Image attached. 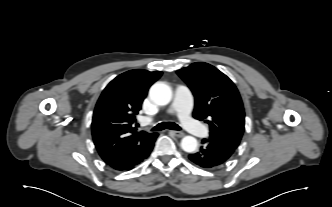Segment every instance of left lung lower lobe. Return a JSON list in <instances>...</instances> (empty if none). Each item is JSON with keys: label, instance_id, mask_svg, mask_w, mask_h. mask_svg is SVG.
Masks as SVG:
<instances>
[{"label": "left lung lower lobe", "instance_id": "left-lung-lower-lobe-1", "mask_svg": "<svg viewBox=\"0 0 332 207\" xmlns=\"http://www.w3.org/2000/svg\"><path fill=\"white\" fill-rule=\"evenodd\" d=\"M202 144L203 146L198 152L189 155V159L205 169H213L223 165L235 151L234 148L210 138L203 139Z\"/></svg>", "mask_w": 332, "mask_h": 207}]
</instances>
